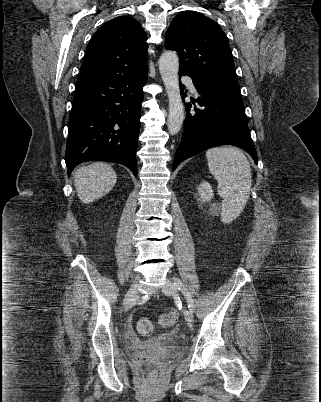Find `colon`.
Masks as SVG:
<instances>
[{
  "label": "colon",
  "mask_w": 321,
  "mask_h": 402,
  "mask_svg": "<svg viewBox=\"0 0 321 402\" xmlns=\"http://www.w3.org/2000/svg\"><path fill=\"white\" fill-rule=\"evenodd\" d=\"M179 318V312L177 310H172L164 315L161 316L160 318V323L162 326L165 327H170L173 326L176 321ZM137 330L141 334H150L154 330V324L152 321L148 318H140L137 321ZM156 377V372L155 371H150L149 372V378L151 380L155 379Z\"/></svg>",
  "instance_id": "obj_1"
}]
</instances>
